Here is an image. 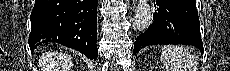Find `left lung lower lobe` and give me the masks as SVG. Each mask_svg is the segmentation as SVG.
Wrapping results in <instances>:
<instances>
[{"instance_id": "left-lung-lower-lobe-1", "label": "left lung lower lobe", "mask_w": 230, "mask_h": 71, "mask_svg": "<svg viewBox=\"0 0 230 71\" xmlns=\"http://www.w3.org/2000/svg\"><path fill=\"white\" fill-rule=\"evenodd\" d=\"M153 23L141 33L133 54L149 45L184 44L203 50L196 0H154Z\"/></svg>"}]
</instances>
